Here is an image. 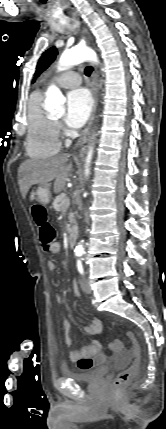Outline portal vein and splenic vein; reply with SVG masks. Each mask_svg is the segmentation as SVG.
I'll return each mask as SVG.
<instances>
[{
    "label": "portal vein and splenic vein",
    "mask_w": 166,
    "mask_h": 429,
    "mask_svg": "<svg viewBox=\"0 0 166 429\" xmlns=\"http://www.w3.org/2000/svg\"><path fill=\"white\" fill-rule=\"evenodd\" d=\"M69 201V199L67 198V199H65V202H68Z\"/></svg>",
    "instance_id": "obj_1"
}]
</instances>
